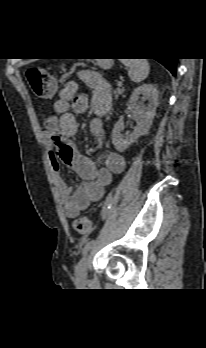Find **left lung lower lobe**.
I'll return each instance as SVG.
<instances>
[{"mask_svg": "<svg viewBox=\"0 0 206 348\" xmlns=\"http://www.w3.org/2000/svg\"><path fill=\"white\" fill-rule=\"evenodd\" d=\"M164 65L174 76L176 75L177 58L156 59Z\"/></svg>", "mask_w": 206, "mask_h": 348, "instance_id": "0a47b994", "label": "left lung lower lobe"}]
</instances>
